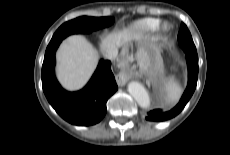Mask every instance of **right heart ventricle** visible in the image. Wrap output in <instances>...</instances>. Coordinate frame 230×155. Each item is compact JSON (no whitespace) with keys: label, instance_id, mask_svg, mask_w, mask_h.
Segmentation results:
<instances>
[{"label":"right heart ventricle","instance_id":"obj_1","mask_svg":"<svg viewBox=\"0 0 230 155\" xmlns=\"http://www.w3.org/2000/svg\"><path fill=\"white\" fill-rule=\"evenodd\" d=\"M157 18L146 17L135 21L129 28L130 32L135 34H143L150 32L156 28Z\"/></svg>","mask_w":230,"mask_h":155}]
</instances>
